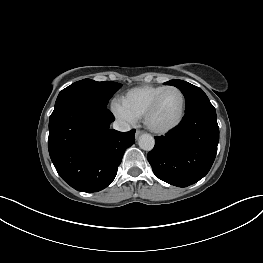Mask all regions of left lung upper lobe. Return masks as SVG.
<instances>
[{
  "instance_id": "1",
  "label": "left lung upper lobe",
  "mask_w": 263,
  "mask_h": 263,
  "mask_svg": "<svg viewBox=\"0 0 263 263\" xmlns=\"http://www.w3.org/2000/svg\"><path fill=\"white\" fill-rule=\"evenodd\" d=\"M164 84L174 85L178 89H180V91L185 96V100H186L185 111H187V110H189V109H191L197 105L210 102L208 97L206 96V94L199 87L194 86L188 82L174 79V80H170Z\"/></svg>"
}]
</instances>
